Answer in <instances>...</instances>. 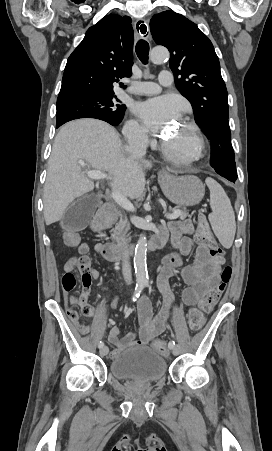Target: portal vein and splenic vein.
<instances>
[{
  "instance_id": "obj_1",
  "label": "portal vein and splenic vein",
  "mask_w": 272,
  "mask_h": 451,
  "mask_svg": "<svg viewBox=\"0 0 272 451\" xmlns=\"http://www.w3.org/2000/svg\"><path fill=\"white\" fill-rule=\"evenodd\" d=\"M83 174H87V178H91V180H104V178H106V180H112L108 174H104V172H100V170H89V172H83ZM112 198L118 206H121V208H124L127 212H135L133 204H131L130 200H127L125 196H122L120 192H113ZM178 216H180V210H175V212L169 214L167 218H169V220H176Z\"/></svg>"
}]
</instances>
